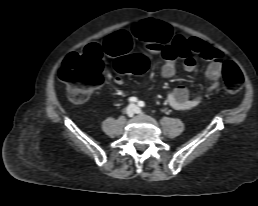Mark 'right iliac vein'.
<instances>
[{"instance_id": "63e3f726", "label": "right iliac vein", "mask_w": 258, "mask_h": 206, "mask_svg": "<svg viewBox=\"0 0 258 206\" xmlns=\"http://www.w3.org/2000/svg\"><path fill=\"white\" fill-rule=\"evenodd\" d=\"M136 112V108L134 105H130L126 109V114L128 117H133Z\"/></svg>"}]
</instances>
